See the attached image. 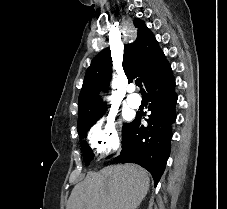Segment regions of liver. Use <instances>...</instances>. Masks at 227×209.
Wrapping results in <instances>:
<instances>
[{
  "label": "liver",
  "mask_w": 227,
  "mask_h": 209,
  "mask_svg": "<svg viewBox=\"0 0 227 209\" xmlns=\"http://www.w3.org/2000/svg\"><path fill=\"white\" fill-rule=\"evenodd\" d=\"M150 177L139 165H112L75 185L67 209H138Z\"/></svg>",
  "instance_id": "obj_1"
}]
</instances>
